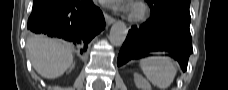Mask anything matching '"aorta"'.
Listing matches in <instances>:
<instances>
[{
  "instance_id": "aorta-1",
  "label": "aorta",
  "mask_w": 228,
  "mask_h": 90,
  "mask_svg": "<svg viewBox=\"0 0 228 90\" xmlns=\"http://www.w3.org/2000/svg\"><path fill=\"white\" fill-rule=\"evenodd\" d=\"M127 27L121 21L115 22L110 30L109 40L114 46H121L127 37Z\"/></svg>"
}]
</instances>
